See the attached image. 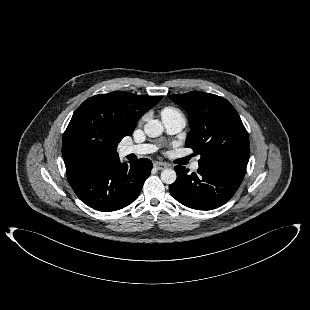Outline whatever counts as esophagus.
I'll return each instance as SVG.
<instances>
[{
    "label": "esophagus",
    "mask_w": 310,
    "mask_h": 310,
    "mask_svg": "<svg viewBox=\"0 0 310 310\" xmlns=\"http://www.w3.org/2000/svg\"><path fill=\"white\" fill-rule=\"evenodd\" d=\"M154 167L158 170H163V169L167 168V165L164 163L156 162V163H154Z\"/></svg>",
    "instance_id": "1"
}]
</instances>
